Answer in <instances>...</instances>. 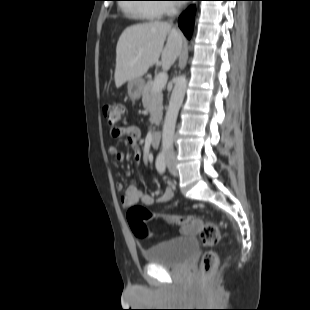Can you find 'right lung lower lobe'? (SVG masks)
I'll use <instances>...</instances> for the list:
<instances>
[{
    "label": "right lung lower lobe",
    "instance_id": "obj_1",
    "mask_svg": "<svg viewBox=\"0 0 310 310\" xmlns=\"http://www.w3.org/2000/svg\"><path fill=\"white\" fill-rule=\"evenodd\" d=\"M194 13L195 7L190 6L185 12L180 15L178 19V25L188 39L191 38L193 31Z\"/></svg>",
    "mask_w": 310,
    "mask_h": 310
}]
</instances>
